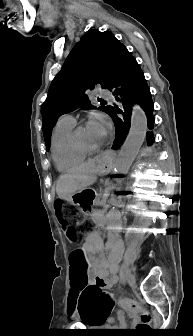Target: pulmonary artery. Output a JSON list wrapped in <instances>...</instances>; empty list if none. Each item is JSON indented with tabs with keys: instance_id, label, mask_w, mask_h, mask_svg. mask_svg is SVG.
Masks as SVG:
<instances>
[{
	"instance_id": "e3ab8cb5",
	"label": "pulmonary artery",
	"mask_w": 193,
	"mask_h": 336,
	"mask_svg": "<svg viewBox=\"0 0 193 336\" xmlns=\"http://www.w3.org/2000/svg\"><path fill=\"white\" fill-rule=\"evenodd\" d=\"M99 95L101 97H103V98H106L108 101H112L113 100L112 95L110 94V92H108L105 89H100ZM58 123H75V120H74V118L71 115L66 114V115H63L59 119Z\"/></svg>"
}]
</instances>
